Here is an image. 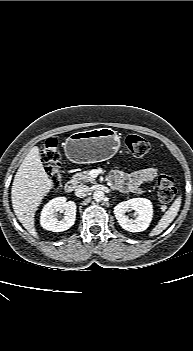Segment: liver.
<instances>
[{"label": "liver", "instance_id": "1", "mask_svg": "<svg viewBox=\"0 0 193 351\" xmlns=\"http://www.w3.org/2000/svg\"><path fill=\"white\" fill-rule=\"evenodd\" d=\"M52 187L53 182L44 170L39 148L35 146L26 155L17 170L11 190L15 215L35 238L38 237L34 226L35 212Z\"/></svg>", "mask_w": 193, "mask_h": 351}]
</instances>
